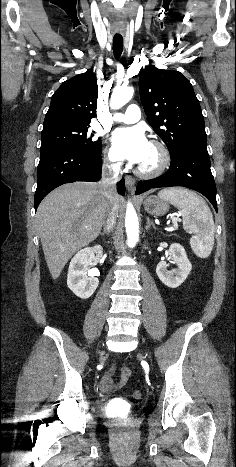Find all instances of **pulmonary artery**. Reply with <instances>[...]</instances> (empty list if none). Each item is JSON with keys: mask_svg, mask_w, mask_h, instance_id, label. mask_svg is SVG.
Segmentation results:
<instances>
[{"mask_svg": "<svg viewBox=\"0 0 236 467\" xmlns=\"http://www.w3.org/2000/svg\"><path fill=\"white\" fill-rule=\"evenodd\" d=\"M140 117V108L136 104H131L125 112L116 113L113 120L116 122L135 123L140 119Z\"/></svg>", "mask_w": 236, "mask_h": 467, "instance_id": "obj_1", "label": "pulmonary artery"}]
</instances>
